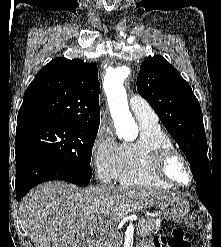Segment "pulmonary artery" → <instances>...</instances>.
Masks as SVG:
<instances>
[{
	"instance_id": "obj_1",
	"label": "pulmonary artery",
	"mask_w": 221,
	"mask_h": 247,
	"mask_svg": "<svg viewBox=\"0 0 221 247\" xmlns=\"http://www.w3.org/2000/svg\"><path fill=\"white\" fill-rule=\"evenodd\" d=\"M130 109L141 124L154 125L158 117L146 100L138 95H132L129 100Z\"/></svg>"
}]
</instances>
